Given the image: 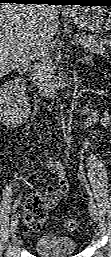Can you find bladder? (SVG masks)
Segmentation results:
<instances>
[{"instance_id":"31cf9c89","label":"bladder","mask_w":111,"mask_h":257,"mask_svg":"<svg viewBox=\"0 0 111 257\" xmlns=\"http://www.w3.org/2000/svg\"><path fill=\"white\" fill-rule=\"evenodd\" d=\"M77 249L74 239L62 236L44 235L34 243V250L43 257H67Z\"/></svg>"}]
</instances>
